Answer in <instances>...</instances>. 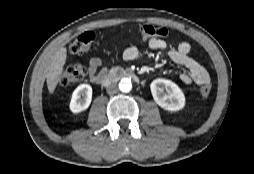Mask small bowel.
<instances>
[{
  "label": "small bowel",
  "mask_w": 254,
  "mask_h": 174,
  "mask_svg": "<svg viewBox=\"0 0 254 174\" xmlns=\"http://www.w3.org/2000/svg\"><path fill=\"white\" fill-rule=\"evenodd\" d=\"M148 45L153 50L166 51L172 62L187 69L186 72L180 74V79L183 83L203 85L209 82V75L206 69L190 56L191 46L189 43L181 42L177 47L168 49L164 40L153 38L149 40ZM140 55V50L132 46L124 51L123 58L126 61H132L138 59ZM106 70L104 62L100 58H92L89 60L88 76L90 81L98 83L100 78L106 73Z\"/></svg>",
  "instance_id": "1"
}]
</instances>
